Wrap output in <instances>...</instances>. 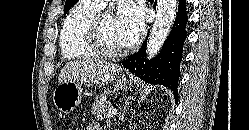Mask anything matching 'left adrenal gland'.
Segmentation results:
<instances>
[{"instance_id": "obj_1", "label": "left adrenal gland", "mask_w": 249, "mask_h": 130, "mask_svg": "<svg viewBox=\"0 0 249 130\" xmlns=\"http://www.w3.org/2000/svg\"><path fill=\"white\" fill-rule=\"evenodd\" d=\"M124 116H125V110H124V112L122 113V115L120 116L119 119H120L121 121H123V120H124Z\"/></svg>"}]
</instances>
